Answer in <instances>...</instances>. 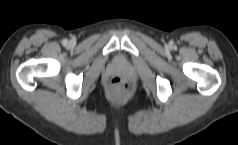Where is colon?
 <instances>
[{
  "label": "colon",
  "mask_w": 238,
  "mask_h": 145,
  "mask_svg": "<svg viewBox=\"0 0 238 145\" xmlns=\"http://www.w3.org/2000/svg\"><path fill=\"white\" fill-rule=\"evenodd\" d=\"M113 94L117 97L123 96L130 91V85L119 77H114L110 83Z\"/></svg>",
  "instance_id": "colon-1"
}]
</instances>
